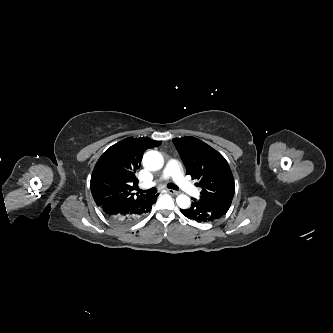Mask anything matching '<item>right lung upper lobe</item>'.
<instances>
[{
  "instance_id": "cb5924a9",
  "label": "right lung upper lobe",
  "mask_w": 333,
  "mask_h": 333,
  "mask_svg": "<svg viewBox=\"0 0 333 333\" xmlns=\"http://www.w3.org/2000/svg\"><path fill=\"white\" fill-rule=\"evenodd\" d=\"M161 145L148 137L126 138L108 148L92 172L90 188L97 206L116 200L134 201L147 195L132 193L137 186L135 172L146 149Z\"/></svg>"
}]
</instances>
